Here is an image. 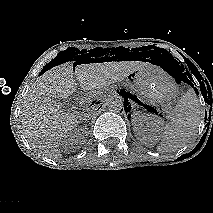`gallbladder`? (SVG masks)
I'll return each instance as SVG.
<instances>
[{"label":"gallbladder","instance_id":"bac80fb5","mask_svg":"<svg viewBox=\"0 0 213 213\" xmlns=\"http://www.w3.org/2000/svg\"><path fill=\"white\" fill-rule=\"evenodd\" d=\"M55 101L60 105H65V103H66L65 101L60 100V99H55Z\"/></svg>","mask_w":213,"mask_h":213}]
</instances>
